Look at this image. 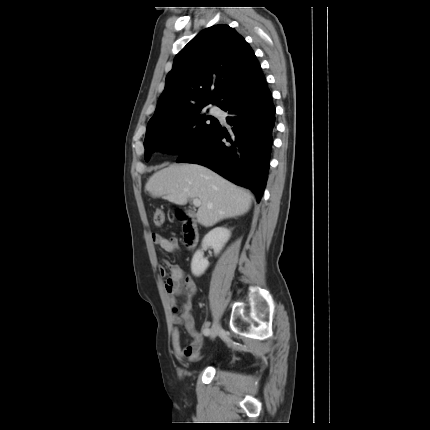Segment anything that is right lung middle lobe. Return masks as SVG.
I'll return each instance as SVG.
<instances>
[{
	"mask_svg": "<svg viewBox=\"0 0 430 430\" xmlns=\"http://www.w3.org/2000/svg\"><path fill=\"white\" fill-rule=\"evenodd\" d=\"M203 107L187 110L147 128L144 141L146 161L156 150L180 156L200 147L219 123L207 115Z\"/></svg>",
	"mask_w": 430,
	"mask_h": 430,
	"instance_id": "1",
	"label": "right lung middle lobe"
}]
</instances>
